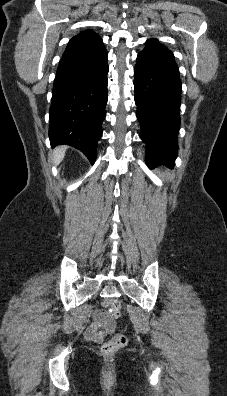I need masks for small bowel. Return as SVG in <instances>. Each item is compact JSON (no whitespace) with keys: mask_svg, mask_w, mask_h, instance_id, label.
<instances>
[{"mask_svg":"<svg viewBox=\"0 0 227 396\" xmlns=\"http://www.w3.org/2000/svg\"><path fill=\"white\" fill-rule=\"evenodd\" d=\"M108 301H104L103 305H107ZM114 331V324L110 321L103 311L95 312L93 322L85 331V338L97 343L103 342L107 334Z\"/></svg>","mask_w":227,"mask_h":396,"instance_id":"small-bowel-1","label":"small bowel"}]
</instances>
